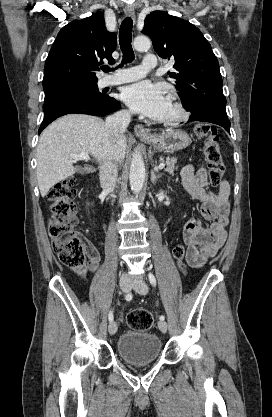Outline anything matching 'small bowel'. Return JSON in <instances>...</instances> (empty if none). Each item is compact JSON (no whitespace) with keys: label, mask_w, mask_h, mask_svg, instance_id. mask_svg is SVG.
I'll use <instances>...</instances> for the list:
<instances>
[{"label":"small bowel","mask_w":272,"mask_h":417,"mask_svg":"<svg viewBox=\"0 0 272 417\" xmlns=\"http://www.w3.org/2000/svg\"><path fill=\"white\" fill-rule=\"evenodd\" d=\"M181 179L190 196L201 202L199 215L190 219L183 228V239L188 246L184 257L191 267L199 268L213 257L227 240L230 185L225 180L217 190H211L206 170L195 169L190 164L182 168ZM206 222H210L209 227L204 226ZM85 245L88 262L72 267L83 279L97 271L100 261L97 249L89 242H85Z\"/></svg>","instance_id":"1"}]
</instances>
